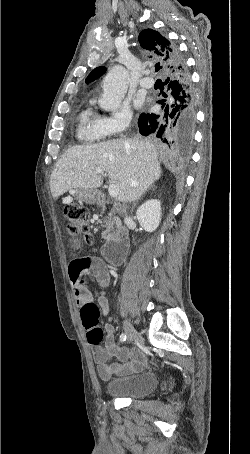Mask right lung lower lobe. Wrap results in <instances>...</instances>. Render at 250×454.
Segmentation results:
<instances>
[{
  "label": "right lung lower lobe",
  "mask_w": 250,
  "mask_h": 454,
  "mask_svg": "<svg viewBox=\"0 0 250 454\" xmlns=\"http://www.w3.org/2000/svg\"><path fill=\"white\" fill-rule=\"evenodd\" d=\"M169 52L174 69L164 76L167 90L157 101L161 108L155 113L140 115L139 132L157 137L172 148L187 147L194 136L195 98L183 56L171 42Z\"/></svg>",
  "instance_id": "obj_1"
}]
</instances>
